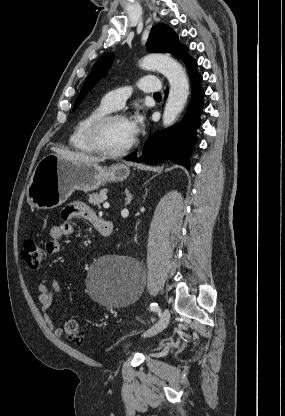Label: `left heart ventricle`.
Masks as SVG:
<instances>
[{
  "instance_id": "obj_1",
  "label": "left heart ventricle",
  "mask_w": 285,
  "mask_h": 416,
  "mask_svg": "<svg viewBox=\"0 0 285 416\" xmlns=\"http://www.w3.org/2000/svg\"><path fill=\"white\" fill-rule=\"evenodd\" d=\"M101 140L107 148L112 150L127 146L131 139L127 133L126 120L115 119L108 123L101 134Z\"/></svg>"
}]
</instances>
